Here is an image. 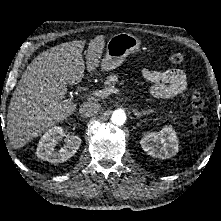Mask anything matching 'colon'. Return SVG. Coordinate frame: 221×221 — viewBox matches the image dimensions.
Returning a JSON list of instances; mask_svg holds the SVG:
<instances>
[{"label": "colon", "instance_id": "colon-1", "mask_svg": "<svg viewBox=\"0 0 221 221\" xmlns=\"http://www.w3.org/2000/svg\"><path fill=\"white\" fill-rule=\"evenodd\" d=\"M171 64L179 66L184 64L185 55L182 53H173L169 57ZM204 106V100L202 93L198 88H195L191 94V107H192V121L197 127H205L207 125V119L201 113Z\"/></svg>", "mask_w": 221, "mask_h": 221}]
</instances>
